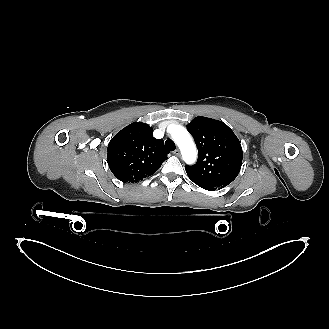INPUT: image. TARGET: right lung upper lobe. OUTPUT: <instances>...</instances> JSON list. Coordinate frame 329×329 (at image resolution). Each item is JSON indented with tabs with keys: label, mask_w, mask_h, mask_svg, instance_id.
I'll list each match as a JSON object with an SVG mask.
<instances>
[{
	"label": "right lung upper lobe",
	"mask_w": 329,
	"mask_h": 329,
	"mask_svg": "<svg viewBox=\"0 0 329 329\" xmlns=\"http://www.w3.org/2000/svg\"><path fill=\"white\" fill-rule=\"evenodd\" d=\"M107 162L116 178L135 183L151 176L167 159L162 139L153 137V128L134 122L119 131L109 142Z\"/></svg>",
	"instance_id": "obj_1"
}]
</instances>
